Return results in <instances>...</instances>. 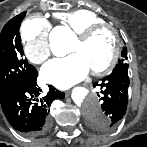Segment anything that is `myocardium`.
Segmentation results:
<instances>
[{"instance_id":"1","label":"myocardium","mask_w":147,"mask_h":147,"mask_svg":"<svg viewBox=\"0 0 147 147\" xmlns=\"http://www.w3.org/2000/svg\"><path fill=\"white\" fill-rule=\"evenodd\" d=\"M108 31L112 34L114 40L113 53L110 60L100 69L91 70L94 76H104L110 73L117 65L121 54V42L117 30L106 23L99 24L88 28L87 30L76 35V39L81 43L90 42L98 33Z\"/></svg>"}]
</instances>
